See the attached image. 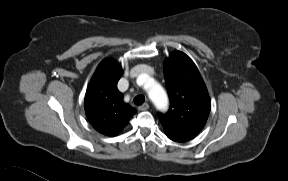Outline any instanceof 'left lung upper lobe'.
Returning a JSON list of instances; mask_svg holds the SVG:
<instances>
[{
    "instance_id": "left-lung-upper-lobe-1",
    "label": "left lung upper lobe",
    "mask_w": 288,
    "mask_h": 181,
    "mask_svg": "<svg viewBox=\"0 0 288 181\" xmlns=\"http://www.w3.org/2000/svg\"><path fill=\"white\" fill-rule=\"evenodd\" d=\"M170 110L158 114L171 140L192 139L204 127L211 101L194 62L183 52L172 53L164 62Z\"/></svg>"
}]
</instances>
